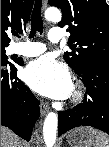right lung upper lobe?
<instances>
[{
    "label": "right lung upper lobe",
    "instance_id": "obj_1",
    "mask_svg": "<svg viewBox=\"0 0 109 147\" xmlns=\"http://www.w3.org/2000/svg\"><path fill=\"white\" fill-rule=\"evenodd\" d=\"M32 5L33 0H1V48L9 46L8 32L25 29Z\"/></svg>",
    "mask_w": 109,
    "mask_h": 147
}]
</instances>
